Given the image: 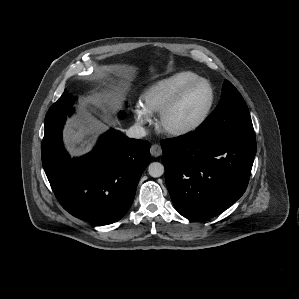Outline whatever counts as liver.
Listing matches in <instances>:
<instances>
[{"mask_svg":"<svg viewBox=\"0 0 299 299\" xmlns=\"http://www.w3.org/2000/svg\"><path fill=\"white\" fill-rule=\"evenodd\" d=\"M115 97H117V95H115ZM99 104V101L92 100L89 102L88 107L91 110L96 111ZM102 110L104 113L106 112L103 108ZM90 133L91 127L85 122L75 121L69 123L64 133V139L68 150L77 153L86 148L89 144L87 137Z\"/></svg>","mask_w":299,"mask_h":299,"instance_id":"1","label":"liver"}]
</instances>
